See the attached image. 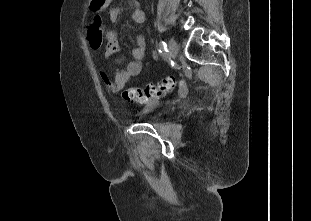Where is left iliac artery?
Instances as JSON below:
<instances>
[{
  "label": "left iliac artery",
  "mask_w": 311,
  "mask_h": 221,
  "mask_svg": "<svg viewBox=\"0 0 311 221\" xmlns=\"http://www.w3.org/2000/svg\"><path fill=\"white\" fill-rule=\"evenodd\" d=\"M158 52L161 54V55H166L167 54V46H166V43L161 40L159 42V45H158Z\"/></svg>",
  "instance_id": "44dca946"
}]
</instances>
